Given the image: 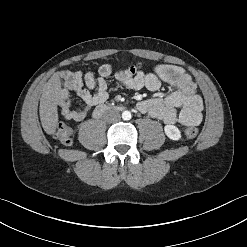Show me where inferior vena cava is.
<instances>
[{
  "label": "inferior vena cava",
  "mask_w": 247,
  "mask_h": 247,
  "mask_svg": "<svg viewBox=\"0 0 247 247\" xmlns=\"http://www.w3.org/2000/svg\"><path fill=\"white\" fill-rule=\"evenodd\" d=\"M104 118L108 122H115L120 119V114L116 110H109L105 113Z\"/></svg>",
  "instance_id": "inferior-vena-cava-1"
}]
</instances>
